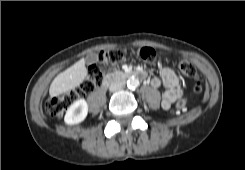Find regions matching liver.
Masks as SVG:
<instances>
[{"mask_svg": "<svg viewBox=\"0 0 245 170\" xmlns=\"http://www.w3.org/2000/svg\"><path fill=\"white\" fill-rule=\"evenodd\" d=\"M87 76L85 59L82 58L74 65L58 74L50 85L49 94L56 97L79 86Z\"/></svg>", "mask_w": 245, "mask_h": 170, "instance_id": "1", "label": "liver"}]
</instances>
